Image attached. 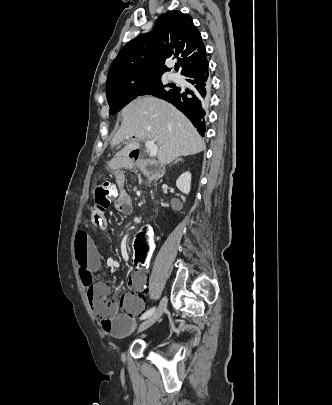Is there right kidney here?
I'll list each match as a JSON object with an SVG mask.
<instances>
[{
  "mask_svg": "<svg viewBox=\"0 0 332 405\" xmlns=\"http://www.w3.org/2000/svg\"><path fill=\"white\" fill-rule=\"evenodd\" d=\"M176 187L184 194H189L191 189V173H183L176 181Z\"/></svg>",
  "mask_w": 332,
  "mask_h": 405,
  "instance_id": "1",
  "label": "right kidney"
}]
</instances>
